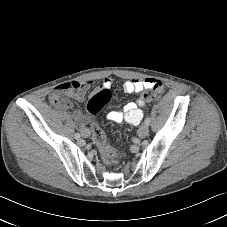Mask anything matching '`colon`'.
<instances>
[{
  "instance_id": "obj_1",
  "label": "colon",
  "mask_w": 227,
  "mask_h": 227,
  "mask_svg": "<svg viewBox=\"0 0 227 227\" xmlns=\"http://www.w3.org/2000/svg\"><path fill=\"white\" fill-rule=\"evenodd\" d=\"M77 86L74 84L65 86L64 89L72 90L76 89ZM163 91V85L161 81L152 79L151 86L145 92L143 98L144 100L150 101L155 99ZM63 94V91L55 93V98L60 97ZM111 92L108 89H102L92 96L87 104V111L90 115H97L103 107L110 101ZM93 134L98 142L99 150L102 151L104 158L108 161H114L118 159L121 155L116 153L111 149V144L106 143V139L103 131L96 124H93Z\"/></svg>"
}]
</instances>
